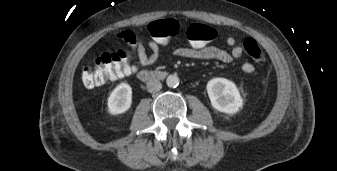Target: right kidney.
I'll list each match as a JSON object with an SVG mask.
<instances>
[{
	"label": "right kidney",
	"instance_id": "obj_1",
	"mask_svg": "<svg viewBox=\"0 0 337 171\" xmlns=\"http://www.w3.org/2000/svg\"><path fill=\"white\" fill-rule=\"evenodd\" d=\"M132 104V88L127 83L119 84L108 98V111L112 115L126 112Z\"/></svg>",
	"mask_w": 337,
	"mask_h": 171
}]
</instances>
